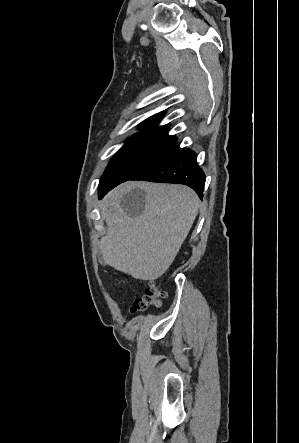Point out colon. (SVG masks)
Listing matches in <instances>:
<instances>
[{
    "label": "colon",
    "instance_id": "colon-1",
    "mask_svg": "<svg viewBox=\"0 0 299 443\" xmlns=\"http://www.w3.org/2000/svg\"><path fill=\"white\" fill-rule=\"evenodd\" d=\"M163 291L156 284H151L145 292V295L136 299L131 307L132 313L142 312L150 307H159Z\"/></svg>",
    "mask_w": 299,
    "mask_h": 443
}]
</instances>
